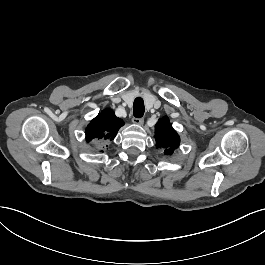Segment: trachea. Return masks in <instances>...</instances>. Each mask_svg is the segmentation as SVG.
Instances as JSON below:
<instances>
[{"instance_id":"obj_1","label":"trachea","mask_w":265,"mask_h":265,"mask_svg":"<svg viewBox=\"0 0 265 265\" xmlns=\"http://www.w3.org/2000/svg\"><path fill=\"white\" fill-rule=\"evenodd\" d=\"M145 106L142 98H136L133 103V114L136 118H141L144 115Z\"/></svg>"}]
</instances>
